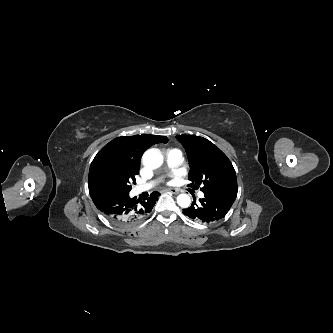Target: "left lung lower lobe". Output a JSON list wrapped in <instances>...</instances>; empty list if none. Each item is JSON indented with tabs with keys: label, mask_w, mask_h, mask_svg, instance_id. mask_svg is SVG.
Segmentation results:
<instances>
[{
	"label": "left lung lower lobe",
	"mask_w": 333,
	"mask_h": 333,
	"mask_svg": "<svg viewBox=\"0 0 333 333\" xmlns=\"http://www.w3.org/2000/svg\"><path fill=\"white\" fill-rule=\"evenodd\" d=\"M200 203L196 204V199L192 205L183 210V214L191 219L209 223L223 218L234 201L212 195H205L203 199L199 200Z\"/></svg>",
	"instance_id": "1"
}]
</instances>
